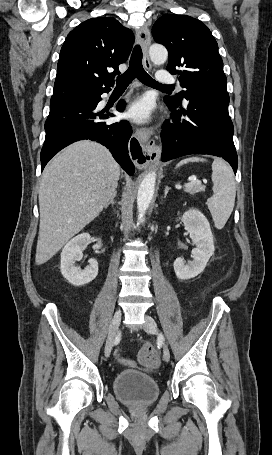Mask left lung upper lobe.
<instances>
[{
  "label": "left lung upper lobe",
  "mask_w": 272,
  "mask_h": 455,
  "mask_svg": "<svg viewBox=\"0 0 272 455\" xmlns=\"http://www.w3.org/2000/svg\"><path fill=\"white\" fill-rule=\"evenodd\" d=\"M152 34L168 50L167 70L178 74L181 87L186 89L165 98L180 103L198 91L227 92L218 45L205 24L187 15L165 14L153 25Z\"/></svg>",
  "instance_id": "obj_1"
}]
</instances>
